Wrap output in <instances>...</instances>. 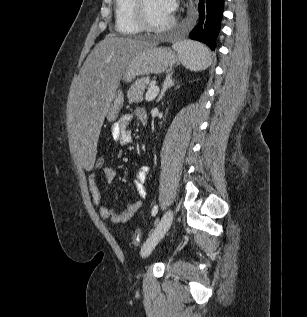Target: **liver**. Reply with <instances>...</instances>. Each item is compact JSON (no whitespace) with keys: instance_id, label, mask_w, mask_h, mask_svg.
<instances>
[{"instance_id":"6515ba94","label":"liver","mask_w":307,"mask_h":317,"mask_svg":"<svg viewBox=\"0 0 307 317\" xmlns=\"http://www.w3.org/2000/svg\"><path fill=\"white\" fill-rule=\"evenodd\" d=\"M155 42L109 34L89 54L73 87L67 111L70 144L82 171H95L97 139L128 60Z\"/></svg>"}]
</instances>
